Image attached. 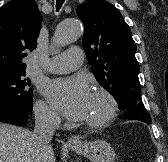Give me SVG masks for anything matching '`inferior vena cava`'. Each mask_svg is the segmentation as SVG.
Listing matches in <instances>:
<instances>
[{"mask_svg": "<svg viewBox=\"0 0 168 162\" xmlns=\"http://www.w3.org/2000/svg\"><path fill=\"white\" fill-rule=\"evenodd\" d=\"M58 116L46 109L35 111V128L33 132L35 145L45 149L53 138L54 131L59 125Z\"/></svg>", "mask_w": 168, "mask_h": 162, "instance_id": "1", "label": "inferior vena cava"}]
</instances>
